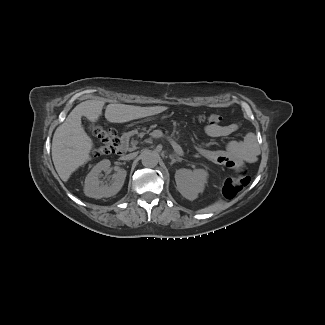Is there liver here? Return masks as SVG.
<instances>
[{"mask_svg":"<svg viewBox=\"0 0 325 325\" xmlns=\"http://www.w3.org/2000/svg\"><path fill=\"white\" fill-rule=\"evenodd\" d=\"M105 100H87L78 104L56 129L52 140V160L60 178L67 182L71 174L88 162L94 143L85 132L81 118L96 122L102 115ZM168 107H141L125 104H109L105 118L112 123H124L134 119L159 114Z\"/></svg>","mask_w":325,"mask_h":325,"instance_id":"liver-1","label":"liver"}]
</instances>
